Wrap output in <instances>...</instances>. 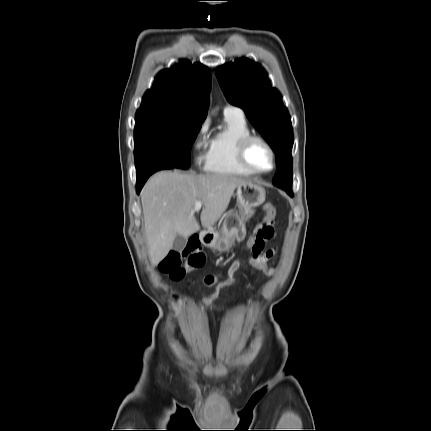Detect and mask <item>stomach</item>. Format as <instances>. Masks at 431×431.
<instances>
[{
	"mask_svg": "<svg viewBox=\"0 0 431 431\" xmlns=\"http://www.w3.org/2000/svg\"><path fill=\"white\" fill-rule=\"evenodd\" d=\"M239 212L226 214L221 232L208 230L202 237L204 245L219 252H228L234 243L244 240L245 222L254 213V209L265 201V190L252 182L241 184L236 191Z\"/></svg>",
	"mask_w": 431,
	"mask_h": 431,
	"instance_id": "obj_1",
	"label": "stomach"
}]
</instances>
